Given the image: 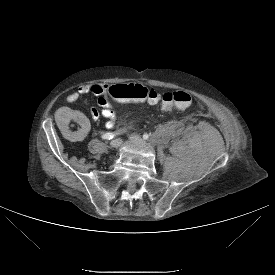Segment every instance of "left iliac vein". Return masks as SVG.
Returning <instances> with one entry per match:
<instances>
[{"instance_id":"1","label":"left iliac vein","mask_w":275,"mask_h":275,"mask_svg":"<svg viewBox=\"0 0 275 275\" xmlns=\"http://www.w3.org/2000/svg\"><path fill=\"white\" fill-rule=\"evenodd\" d=\"M130 139L132 141H135V142H141L142 141V138L139 135H136V134H131Z\"/></svg>"}]
</instances>
